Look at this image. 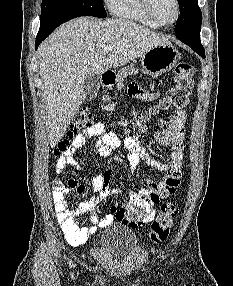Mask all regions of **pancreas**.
<instances>
[{"mask_svg": "<svg viewBox=\"0 0 233 286\" xmlns=\"http://www.w3.org/2000/svg\"><path fill=\"white\" fill-rule=\"evenodd\" d=\"M136 73H138V69H135L132 66L130 67L127 66V67L120 69L117 73V80H116L118 89H121L122 83L128 75L136 74Z\"/></svg>", "mask_w": 233, "mask_h": 286, "instance_id": "1", "label": "pancreas"}]
</instances>
